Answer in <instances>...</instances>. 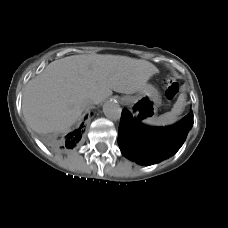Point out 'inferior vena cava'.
I'll return each mask as SVG.
<instances>
[{"label":"inferior vena cava","instance_id":"obj_1","mask_svg":"<svg viewBox=\"0 0 228 228\" xmlns=\"http://www.w3.org/2000/svg\"><path fill=\"white\" fill-rule=\"evenodd\" d=\"M92 104H93V102L90 99H86V100L83 101L82 107L85 109L86 107H88V106H90Z\"/></svg>","mask_w":228,"mask_h":228}]
</instances>
